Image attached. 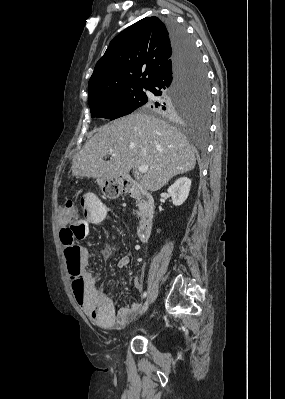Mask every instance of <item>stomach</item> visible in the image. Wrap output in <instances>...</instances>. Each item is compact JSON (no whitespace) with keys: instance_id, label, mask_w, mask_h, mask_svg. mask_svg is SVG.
<instances>
[{"instance_id":"stomach-1","label":"stomach","mask_w":285,"mask_h":399,"mask_svg":"<svg viewBox=\"0 0 285 399\" xmlns=\"http://www.w3.org/2000/svg\"><path fill=\"white\" fill-rule=\"evenodd\" d=\"M97 183L103 194L110 199L118 198L123 192L124 182L121 178L98 179Z\"/></svg>"}]
</instances>
